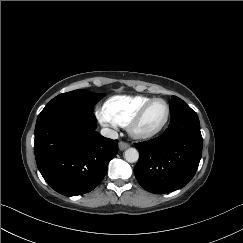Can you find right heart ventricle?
<instances>
[{"mask_svg":"<svg viewBox=\"0 0 243 243\" xmlns=\"http://www.w3.org/2000/svg\"><path fill=\"white\" fill-rule=\"evenodd\" d=\"M148 96H113L104 104V112L115 124L126 127L138 110L150 101Z\"/></svg>","mask_w":243,"mask_h":243,"instance_id":"1","label":"right heart ventricle"}]
</instances>
